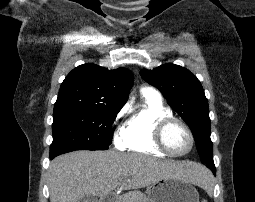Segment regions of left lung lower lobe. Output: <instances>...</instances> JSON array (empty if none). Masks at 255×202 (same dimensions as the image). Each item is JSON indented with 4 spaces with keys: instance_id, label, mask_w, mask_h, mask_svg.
Segmentation results:
<instances>
[{
    "instance_id": "0a47b994",
    "label": "left lung lower lobe",
    "mask_w": 255,
    "mask_h": 202,
    "mask_svg": "<svg viewBox=\"0 0 255 202\" xmlns=\"http://www.w3.org/2000/svg\"><path fill=\"white\" fill-rule=\"evenodd\" d=\"M206 163V165L211 169V171L215 174L216 173V169H215V165L213 161H206L204 162Z\"/></svg>"
}]
</instances>
